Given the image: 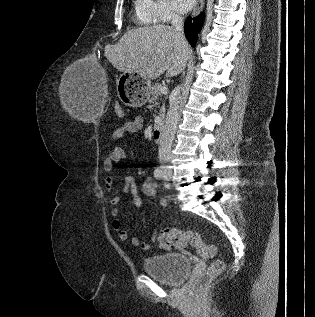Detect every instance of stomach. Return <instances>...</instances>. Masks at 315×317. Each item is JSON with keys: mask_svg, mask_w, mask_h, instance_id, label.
I'll return each instance as SVG.
<instances>
[{"mask_svg": "<svg viewBox=\"0 0 315 317\" xmlns=\"http://www.w3.org/2000/svg\"><path fill=\"white\" fill-rule=\"evenodd\" d=\"M119 99L128 107H141L150 97L152 86L148 78L138 73L123 72L116 80Z\"/></svg>", "mask_w": 315, "mask_h": 317, "instance_id": "1", "label": "stomach"}]
</instances>
